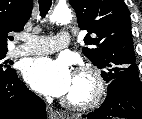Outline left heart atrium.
<instances>
[{
  "label": "left heart atrium",
  "mask_w": 142,
  "mask_h": 119,
  "mask_svg": "<svg viewBox=\"0 0 142 119\" xmlns=\"http://www.w3.org/2000/svg\"><path fill=\"white\" fill-rule=\"evenodd\" d=\"M26 82L37 92L54 97L66 96L73 85L74 76L65 60L48 57L34 58L24 68Z\"/></svg>",
  "instance_id": "39dd6f15"
}]
</instances>
